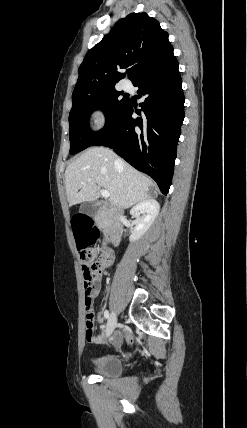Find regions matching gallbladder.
<instances>
[{
  "label": "gallbladder",
  "mask_w": 247,
  "mask_h": 428,
  "mask_svg": "<svg viewBox=\"0 0 247 428\" xmlns=\"http://www.w3.org/2000/svg\"><path fill=\"white\" fill-rule=\"evenodd\" d=\"M80 213L94 217L98 212V207L92 202H85L80 206Z\"/></svg>",
  "instance_id": "bac80fb5"
}]
</instances>
